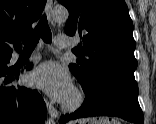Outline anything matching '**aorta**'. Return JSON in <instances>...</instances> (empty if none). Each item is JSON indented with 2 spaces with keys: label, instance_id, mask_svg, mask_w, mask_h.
<instances>
[{
  "label": "aorta",
  "instance_id": "aorta-1",
  "mask_svg": "<svg viewBox=\"0 0 156 124\" xmlns=\"http://www.w3.org/2000/svg\"><path fill=\"white\" fill-rule=\"evenodd\" d=\"M69 13L66 8L58 7L52 11V17L56 22H65L68 19ZM46 124H55L54 119L49 118L45 122Z\"/></svg>",
  "mask_w": 156,
  "mask_h": 124
}]
</instances>
